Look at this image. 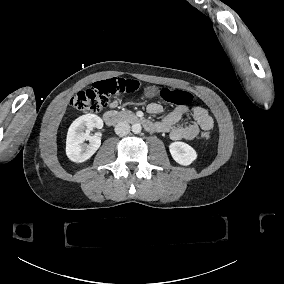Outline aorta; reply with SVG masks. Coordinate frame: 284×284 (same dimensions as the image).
Instances as JSON below:
<instances>
[{"instance_id": "obj_1", "label": "aorta", "mask_w": 284, "mask_h": 284, "mask_svg": "<svg viewBox=\"0 0 284 284\" xmlns=\"http://www.w3.org/2000/svg\"><path fill=\"white\" fill-rule=\"evenodd\" d=\"M142 130V127L139 123H135L132 125V132L135 133V134H138L140 133Z\"/></svg>"}]
</instances>
